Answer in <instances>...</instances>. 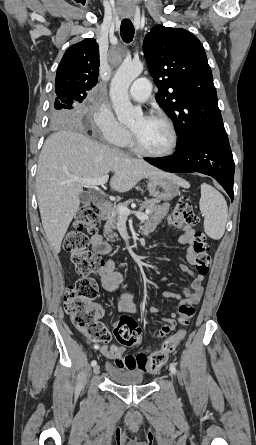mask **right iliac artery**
<instances>
[{"mask_svg": "<svg viewBox=\"0 0 256 445\" xmlns=\"http://www.w3.org/2000/svg\"><path fill=\"white\" fill-rule=\"evenodd\" d=\"M96 364H97L96 360H93V361L91 362V365H92V366H95Z\"/></svg>", "mask_w": 256, "mask_h": 445, "instance_id": "right-iliac-artery-1", "label": "right iliac artery"}]
</instances>
